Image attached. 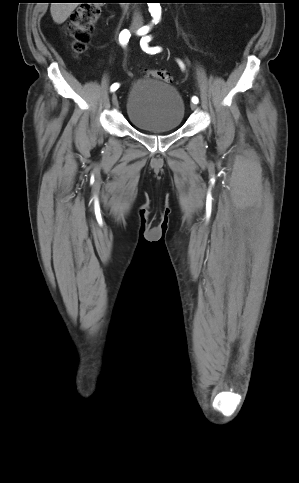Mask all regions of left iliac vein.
Wrapping results in <instances>:
<instances>
[{"label":"left iliac vein","instance_id":"4c4485c4","mask_svg":"<svg viewBox=\"0 0 299 483\" xmlns=\"http://www.w3.org/2000/svg\"><path fill=\"white\" fill-rule=\"evenodd\" d=\"M190 107H191L192 110H195L197 108V105L195 103H191Z\"/></svg>","mask_w":299,"mask_h":483}]
</instances>
